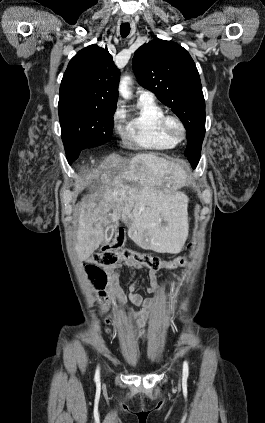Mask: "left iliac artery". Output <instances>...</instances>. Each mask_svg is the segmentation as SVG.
I'll return each mask as SVG.
<instances>
[{
    "label": "left iliac artery",
    "mask_w": 265,
    "mask_h": 423,
    "mask_svg": "<svg viewBox=\"0 0 265 423\" xmlns=\"http://www.w3.org/2000/svg\"><path fill=\"white\" fill-rule=\"evenodd\" d=\"M188 374H189L188 362L184 361V363H183V376L188 377Z\"/></svg>",
    "instance_id": "obj_1"
}]
</instances>
